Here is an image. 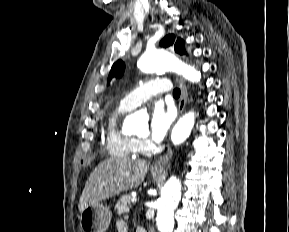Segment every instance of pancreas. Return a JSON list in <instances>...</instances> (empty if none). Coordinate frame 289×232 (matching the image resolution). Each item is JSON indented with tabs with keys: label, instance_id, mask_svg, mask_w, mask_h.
Listing matches in <instances>:
<instances>
[{
	"label": "pancreas",
	"instance_id": "obj_1",
	"mask_svg": "<svg viewBox=\"0 0 289 232\" xmlns=\"http://www.w3.org/2000/svg\"><path fill=\"white\" fill-rule=\"evenodd\" d=\"M130 200V195H124L118 200L117 204L115 205V211L117 214L120 215L129 212V209L132 207Z\"/></svg>",
	"mask_w": 289,
	"mask_h": 232
}]
</instances>
